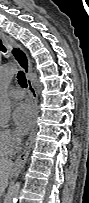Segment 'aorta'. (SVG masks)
Listing matches in <instances>:
<instances>
[{
    "label": "aorta",
    "instance_id": "1",
    "mask_svg": "<svg viewBox=\"0 0 89 203\" xmlns=\"http://www.w3.org/2000/svg\"><path fill=\"white\" fill-rule=\"evenodd\" d=\"M15 69L13 65L7 64L2 67L0 72V124L5 126L9 123L12 115L11 101L4 91V89L9 85L12 78L15 75ZM21 189V182L17 181L14 183L6 195L3 203H17L18 197Z\"/></svg>",
    "mask_w": 89,
    "mask_h": 203
}]
</instances>
